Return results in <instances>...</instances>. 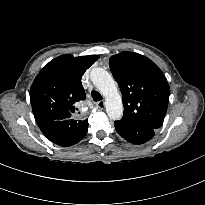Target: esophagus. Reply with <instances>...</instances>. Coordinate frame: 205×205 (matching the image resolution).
<instances>
[{"label":"esophagus","mask_w":205,"mask_h":205,"mask_svg":"<svg viewBox=\"0 0 205 205\" xmlns=\"http://www.w3.org/2000/svg\"><path fill=\"white\" fill-rule=\"evenodd\" d=\"M96 107L99 109H104L105 107V102L104 101H99L96 103Z\"/></svg>","instance_id":"34e87169"}]
</instances>
